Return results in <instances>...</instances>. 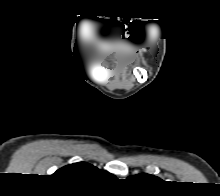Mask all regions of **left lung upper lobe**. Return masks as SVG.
Masks as SVG:
<instances>
[{
	"mask_svg": "<svg viewBox=\"0 0 220 196\" xmlns=\"http://www.w3.org/2000/svg\"><path fill=\"white\" fill-rule=\"evenodd\" d=\"M128 179L135 180V181H138V182H150V181H153V180H160L159 178H157L153 175H149V174H145V173L138 174V175H135V176H131Z\"/></svg>",
	"mask_w": 220,
	"mask_h": 196,
	"instance_id": "5c2ea615",
	"label": "left lung upper lobe"
}]
</instances>
